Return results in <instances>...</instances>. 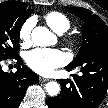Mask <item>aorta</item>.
Listing matches in <instances>:
<instances>
[{
  "instance_id": "aorta-1",
  "label": "aorta",
  "mask_w": 108,
  "mask_h": 108,
  "mask_svg": "<svg viewBox=\"0 0 108 108\" xmlns=\"http://www.w3.org/2000/svg\"><path fill=\"white\" fill-rule=\"evenodd\" d=\"M32 41L35 45L45 47L53 44L56 39L55 35L46 27L38 26L32 30ZM46 91L50 96H56L60 92V85L55 81L46 84Z\"/></svg>"
}]
</instances>
